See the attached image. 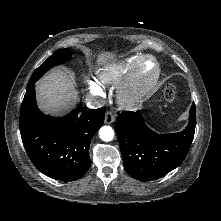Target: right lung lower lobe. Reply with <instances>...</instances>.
<instances>
[{"label": "right lung lower lobe", "mask_w": 221, "mask_h": 221, "mask_svg": "<svg viewBox=\"0 0 221 221\" xmlns=\"http://www.w3.org/2000/svg\"><path fill=\"white\" fill-rule=\"evenodd\" d=\"M105 108L73 110L62 118L44 115L37 108L35 84L26 90L20 111V133L34 166L60 181H74L89 169V147L104 123Z\"/></svg>", "instance_id": "1"}]
</instances>
